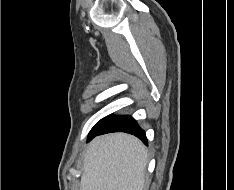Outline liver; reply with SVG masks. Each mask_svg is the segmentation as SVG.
Instances as JSON below:
<instances>
[{"mask_svg":"<svg viewBox=\"0 0 234 190\" xmlns=\"http://www.w3.org/2000/svg\"><path fill=\"white\" fill-rule=\"evenodd\" d=\"M146 166V147L136 137H96L85 155L79 190H143Z\"/></svg>","mask_w":234,"mask_h":190,"instance_id":"6515ba94","label":"liver"}]
</instances>
